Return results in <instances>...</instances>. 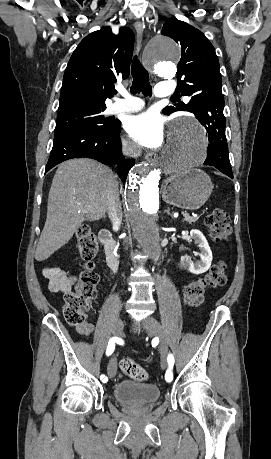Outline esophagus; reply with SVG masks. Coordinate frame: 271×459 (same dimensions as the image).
<instances>
[{
  "label": "esophagus",
  "instance_id": "1",
  "mask_svg": "<svg viewBox=\"0 0 271 459\" xmlns=\"http://www.w3.org/2000/svg\"><path fill=\"white\" fill-rule=\"evenodd\" d=\"M136 32H137V51H136V56L139 61H142L145 56V51L143 49H140L141 47V42L145 41L148 38L147 31L143 28V23L142 22H135L134 24ZM143 67L147 68L149 72L152 73V67L149 66L148 62H143ZM145 160L153 167H155L158 163V158L157 154L155 152H149L148 154L145 155Z\"/></svg>",
  "mask_w": 271,
  "mask_h": 459
}]
</instances>
